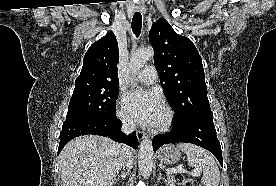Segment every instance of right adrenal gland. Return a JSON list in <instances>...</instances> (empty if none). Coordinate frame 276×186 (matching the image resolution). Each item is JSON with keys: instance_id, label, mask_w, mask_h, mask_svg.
<instances>
[{"instance_id": "2a0ac1e0", "label": "right adrenal gland", "mask_w": 276, "mask_h": 186, "mask_svg": "<svg viewBox=\"0 0 276 186\" xmlns=\"http://www.w3.org/2000/svg\"><path fill=\"white\" fill-rule=\"evenodd\" d=\"M127 176H128V171H123V172L121 173V175H118V177H117L115 180L118 181L120 178H121L122 180H124Z\"/></svg>"}]
</instances>
